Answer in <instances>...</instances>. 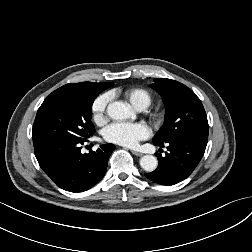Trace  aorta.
<instances>
[{"label": "aorta", "instance_id": "aorta-1", "mask_svg": "<svg viewBox=\"0 0 252 252\" xmlns=\"http://www.w3.org/2000/svg\"><path fill=\"white\" fill-rule=\"evenodd\" d=\"M107 114L114 120H125L134 115L131 107L121 102H112L107 107ZM158 161L153 155H144L140 159V166L147 172H152L157 168Z\"/></svg>", "mask_w": 252, "mask_h": 252}]
</instances>
